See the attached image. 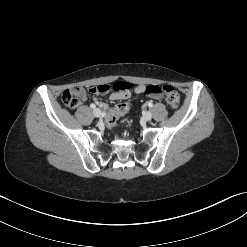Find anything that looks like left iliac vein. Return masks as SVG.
<instances>
[{
    "instance_id": "left-iliac-vein-1",
    "label": "left iliac vein",
    "mask_w": 247,
    "mask_h": 247,
    "mask_svg": "<svg viewBox=\"0 0 247 247\" xmlns=\"http://www.w3.org/2000/svg\"><path fill=\"white\" fill-rule=\"evenodd\" d=\"M143 119L145 121H150L152 119V113L149 112V111L145 112L144 115H143Z\"/></svg>"
}]
</instances>
